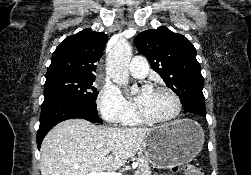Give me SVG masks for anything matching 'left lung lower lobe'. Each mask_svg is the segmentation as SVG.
<instances>
[{
	"instance_id": "0a47b994",
	"label": "left lung lower lobe",
	"mask_w": 251,
	"mask_h": 175,
	"mask_svg": "<svg viewBox=\"0 0 251 175\" xmlns=\"http://www.w3.org/2000/svg\"><path fill=\"white\" fill-rule=\"evenodd\" d=\"M184 112L188 114L190 117L200 118L206 117V109L205 104H193V105H185Z\"/></svg>"
}]
</instances>
